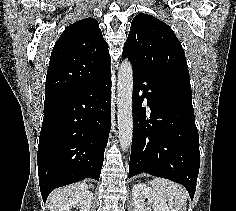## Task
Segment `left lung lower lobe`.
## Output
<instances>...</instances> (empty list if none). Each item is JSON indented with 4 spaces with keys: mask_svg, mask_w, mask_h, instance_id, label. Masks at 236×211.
I'll use <instances>...</instances> for the list:
<instances>
[{
    "mask_svg": "<svg viewBox=\"0 0 236 211\" xmlns=\"http://www.w3.org/2000/svg\"><path fill=\"white\" fill-rule=\"evenodd\" d=\"M147 101L150 112L142 107ZM199 137L192 98L133 70V140L129 178L149 173L183 184L193 199Z\"/></svg>",
    "mask_w": 236,
    "mask_h": 211,
    "instance_id": "0a47b994",
    "label": "left lung lower lobe"
}]
</instances>
